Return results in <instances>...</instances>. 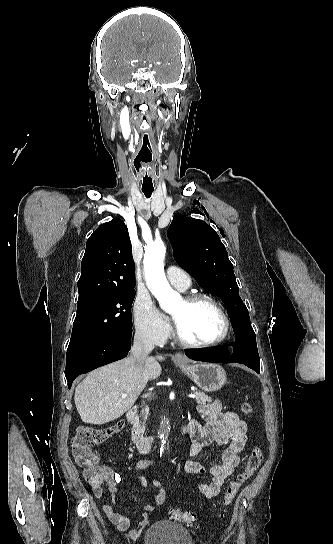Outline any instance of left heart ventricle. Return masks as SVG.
<instances>
[{"label":"left heart ventricle","mask_w":333,"mask_h":544,"mask_svg":"<svg viewBox=\"0 0 333 544\" xmlns=\"http://www.w3.org/2000/svg\"><path fill=\"white\" fill-rule=\"evenodd\" d=\"M182 335L193 342L204 343L220 336L223 320L218 309L207 301L188 305L182 300L171 312Z\"/></svg>","instance_id":"obj_1"}]
</instances>
